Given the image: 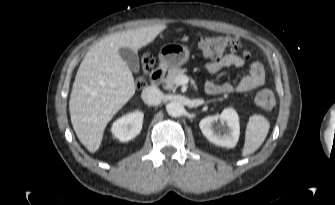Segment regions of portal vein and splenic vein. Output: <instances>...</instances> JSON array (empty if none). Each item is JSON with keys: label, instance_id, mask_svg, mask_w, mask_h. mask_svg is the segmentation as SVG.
I'll return each mask as SVG.
<instances>
[{"label": "portal vein and splenic vein", "instance_id": "18ae733b", "mask_svg": "<svg viewBox=\"0 0 335 205\" xmlns=\"http://www.w3.org/2000/svg\"><path fill=\"white\" fill-rule=\"evenodd\" d=\"M188 80H189V78L187 76L183 75V76L178 77L176 79V82L178 84H186V83H188Z\"/></svg>", "mask_w": 335, "mask_h": 205}]
</instances>
